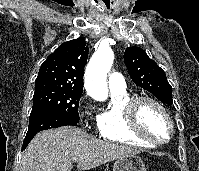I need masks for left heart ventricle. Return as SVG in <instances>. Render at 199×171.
Instances as JSON below:
<instances>
[{
	"label": "left heart ventricle",
	"instance_id": "left-heart-ventricle-1",
	"mask_svg": "<svg viewBox=\"0 0 199 171\" xmlns=\"http://www.w3.org/2000/svg\"><path fill=\"white\" fill-rule=\"evenodd\" d=\"M140 122L142 128L153 138L164 140L168 137L167 120L155 106L148 103L142 106Z\"/></svg>",
	"mask_w": 199,
	"mask_h": 171
}]
</instances>
